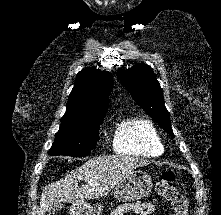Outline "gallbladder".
<instances>
[{
	"mask_svg": "<svg viewBox=\"0 0 221 215\" xmlns=\"http://www.w3.org/2000/svg\"><path fill=\"white\" fill-rule=\"evenodd\" d=\"M62 209V203L54 202L48 207V215H56Z\"/></svg>",
	"mask_w": 221,
	"mask_h": 215,
	"instance_id": "obj_1",
	"label": "gallbladder"
}]
</instances>
